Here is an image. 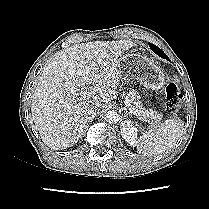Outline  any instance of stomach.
<instances>
[{"mask_svg": "<svg viewBox=\"0 0 209 209\" xmlns=\"http://www.w3.org/2000/svg\"><path fill=\"white\" fill-rule=\"evenodd\" d=\"M119 73L126 80H137L144 87L160 90L166 84V77L160 67L141 54H128L119 62Z\"/></svg>", "mask_w": 209, "mask_h": 209, "instance_id": "0dacf381", "label": "stomach"}]
</instances>
